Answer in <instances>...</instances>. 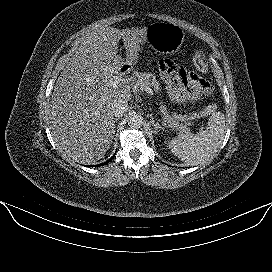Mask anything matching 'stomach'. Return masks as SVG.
Wrapping results in <instances>:
<instances>
[{
    "label": "stomach",
    "instance_id": "0dacf381",
    "mask_svg": "<svg viewBox=\"0 0 272 272\" xmlns=\"http://www.w3.org/2000/svg\"><path fill=\"white\" fill-rule=\"evenodd\" d=\"M146 43L159 54L177 52L184 41V32L176 24L155 22L147 27Z\"/></svg>",
    "mask_w": 272,
    "mask_h": 272
}]
</instances>
